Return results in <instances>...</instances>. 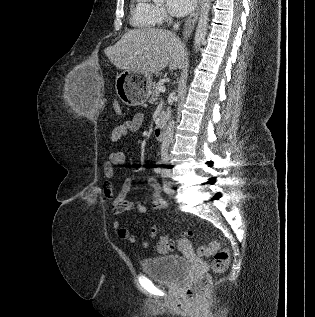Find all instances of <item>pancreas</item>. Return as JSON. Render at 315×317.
Listing matches in <instances>:
<instances>
[{
    "instance_id": "cf45deb5",
    "label": "pancreas",
    "mask_w": 315,
    "mask_h": 317,
    "mask_svg": "<svg viewBox=\"0 0 315 317\" xmlns=\"http://www.w3.org/2000/svg\"><path fill=\"white\" fill-rule=\"evenodd\" d=\"M161 86L159 84H153L152 90H151V98L149 100L150 103H155L159 97V89Z\"/></svg>"
}]
</instances>
